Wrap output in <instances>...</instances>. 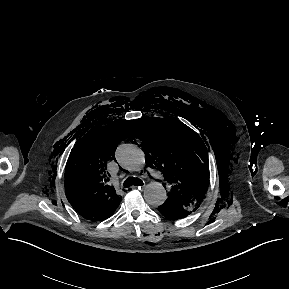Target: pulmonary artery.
Masks as SVG:
<instances>
[{
    "label": "pulmonary artery",
    "mask_w": 289,
    "mask_h": 289,
    "mask_svg": "<svg viewBox=\"0 0 289 289\" xmlns=\"http://www.w3.org/2000/svg\"><path fill=\"white\" fill-rule=\"evenodd\" d=\"M151 173H152V176H154L155 178H157L156 175H155V173H154V171L151 170Z\"/></svg>",
    "instance_id": "1"
}]
</instances>
